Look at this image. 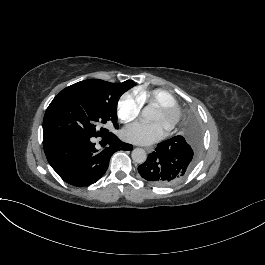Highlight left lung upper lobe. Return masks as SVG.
<instances>
[{"label":"left lung upper lobe","mask_w":265,"mask_h":265,"mask_svg":"<svg viewBox=\"0 0 265 265\" xmlns=\"http://www.w3.org/2000/svg\"><path fill=\"white\" fill-rule=\"evenodd\" d=\"M195 120L193 117L190 118L189 124L186 128V130L184 131V137L187 139V141L189 142V144H193V141L195 140L194 134H193V130L191 128V121ZM200 146H201V133L198 134L197 136V148L200 150Z\"/></svg>","instance_id":"1"}]
</instances>
